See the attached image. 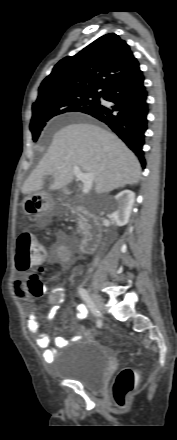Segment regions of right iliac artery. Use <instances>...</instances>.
Listing matches in <instances>:
<instances>
[{
	"label": "right iliac artery",
	"mask_w": 177,
	"mask_h": 440,
	"mask_svg": "<svg viewBox=\"0 0 177 440\" xmlns=\"http://www.w3.org/2000/svg\"><path fill=\"white\" fill-rule=\"evenodd\" d=\"M79 294H80L81 298L85 301L87 307L90 309V311L93 313V315L97 318L96 324H97V327L100 328L102 326V321L99 319L101 314H100V311L96 308L88 291L84 288H79Z\"/></svg>",
	"instance_id": "obj_1"
}]
</instances>
